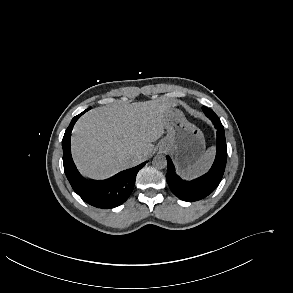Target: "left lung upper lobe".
Segmentation results:
<instances>
[{
    "label": "left lung upper lobe",
    "mask_w": 293,
    "mask_h": 293,
    "mask_svg": "<svg viewBox=\"0 0 293 293\" xmlns=\"http://www.w3.org/2000/svg\"><path fill=\"white\" fill-rule=\"evenodd\" d=\"M205 115L210 119V120H216L219 119L218 116L214 113L213 110L207 108V107H202Z\"/></svg>",
    "instance_id": "5c2ea615"
}]
</instances>
